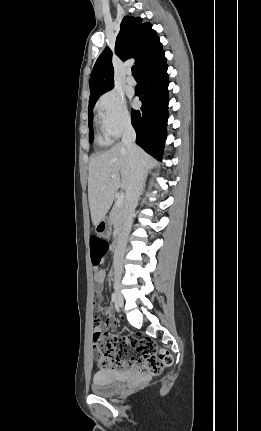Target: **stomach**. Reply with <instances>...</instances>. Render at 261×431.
<instances>
[{"label": "stomach", "mask_w": 261, "mask_h": 431, "mask_svg": "<svg viewBox=\"0 0 261 431\" xmlns=\"http://www.w3.org/2000/svg\"><path fill=\"white\" fill-rule=\"evenodd\" d=\"M111 230V222L105 217L95 225V232L103 237H108L111 234Z\"/></svg>", "instance_id": "stomach-1"}]
</instances>
